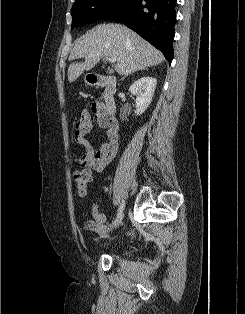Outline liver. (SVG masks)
<instances>
[{
    "instance_id": "liver-1",
    "label": "liver",
    "mask_w": 245,
    "mask_h": 314,
    "mask_svg": "<svg viewBox=\"0 0 245 314\" xmlns=\"http://www.w3.org/2000/svg\"><path fill=\"white\" fill-rule=\"evenodd\" d=\"M104 56L116 57L114 69L119 75L125 76L159 65L165 60L158 49L126 26L99 24L75 44L69 59L85 58V62L69 65V82H74L84 71L91 70Z\"/></svg>"
}]
</instances>
